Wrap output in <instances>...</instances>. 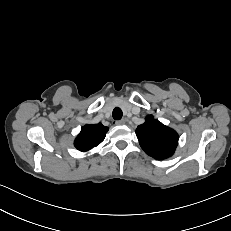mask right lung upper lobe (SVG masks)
Here are the masks:
<instances>
[{
  "instance_id": "1",
  "label": "right lung upper lobe",
  "mask_w": 231,
  "mask_h": 231,
  "mask_svg": "<svg viewBox=\"0 0 231 231\" xmlns=\"http://www.w3.org/2000/svg\"><path fill=\"white\" fill-rule=\"evenodd\" d=\"M108 127L98 124H87L74 141V146L80 151H88L99 145L106 136Z\"/></svg>"
}]
</instances>
